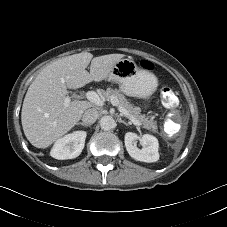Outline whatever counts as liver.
<instances>
[{
	"mask_svg": "<svg viewBox=\"0 0 227 227\" xmlns=\"http://www.w3.org/2000/svg\"><path fill=\"white\" fill-rule=\"evenodd\" d=\"M124 56L93 58L91 53L81 52L47 65L29 86L23 101L21 122L28 141L37 148H47L69 132L93 104L74 100L64 106L67 88L77 89L107 79ZM89 64L90 72L86 70Z\"/></svg>",
	"mask_w": 227,
	"mask_h": 227,
	"instance_id": "1",
	"label": "liver"
}]
</instances>
